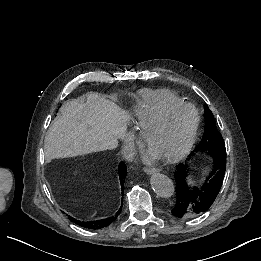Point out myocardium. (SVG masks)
Returning a JSON list of instances; mask_svg holds the SVG:
<instances>
[{
    "label": "myocardium",
    "mask_w": 261,
    "mask_h": 261,
    "mask_svg": "<svg viewBox=\"0 0 261 261\" xmlns=\"http://www.w3.org/2000/svg\"><path fill=\"white\" fill-rule=\"evenodd\" d=\"M176 109H185V110L190 111L192 113L193 120H192L191 128H190V131L188 133V136H187L185 142L176 152L169 154L167 156H164V157L154 156L156 159H158L164 163H171V162L179 160L192 147V145L195 141L196 135H197L199 124H200V115H199L198 110L194 106H192L188 103H171V104L164 106L157 113L147 115V116L140 118L137 122L136 128H137L138 136H139L140 140L142 141V143L145 145L144 140H143L145 129L149 125L162 119L169 112L176 110Z\"/></svg>",
    "instance_id": "1"
}]
</instances>
